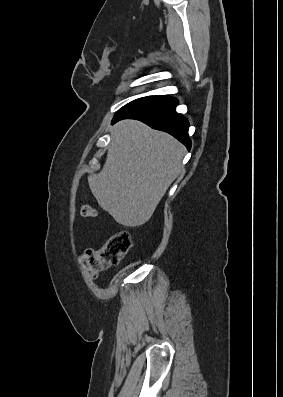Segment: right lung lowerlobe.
<instances>
[{"mask_svg":"<svg viewBox=\"0 0 283 397\" xmlns=\"http://www.w3.org/2000/svg\"><path fill=\"white\" fill-rule=\"evenodd\" d=\"M177 105L178 100L170 96H149L115 114L112 124L122 119L140 120L153 129L171 134L190 149L189 122L175 111Z\"/></svg>","mask_w":283,"mask_h":397,"instance_id":"obj_1","label":"right lung lower lobe"}]
</instances>
